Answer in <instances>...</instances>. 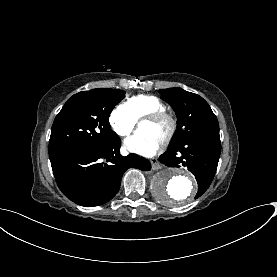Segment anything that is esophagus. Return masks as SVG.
<instances>
[{
    "label": "esophagus",
    "mask_w": 277,
    "mask_h": 277,
    "mask_svg": "<svg viewBox=\"0 0 277 277\" xmlns=\"http://www.w3.org/2000/svg\"><path fill=\"white\" fill-rule=\"evenodd\" d=\"M150 163L153 170H159L162 168V164L159 162L157 158H152L150 160Z\"/></svg>",
    "instance_id": "obj_1"
}]
</instances>
